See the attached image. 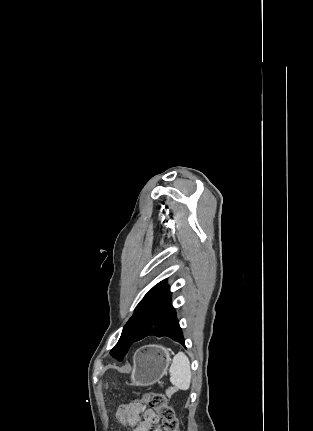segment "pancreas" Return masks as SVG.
<instances>
[{
    "label": "pancreas",
    "mask_w": 313,
    "mask_h": 431,
    "mask_svg": "<svg viewBox=\"0 0 313 431\" xmlns=\"http://www.w3.org/2000/svg\"><path fill=\"white\" fill-rule=\"evenodd\" d=\"M174 392H175V389H167L166 390V395L167 396H171Z\"/></svg>",
    "instance_id": "obj_1"
}]
</instances>
